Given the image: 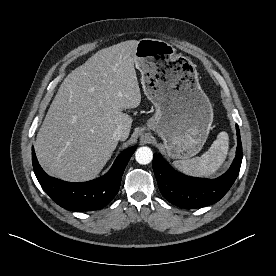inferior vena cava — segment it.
Wrapping results in <instances>:
<instances>
[{
    "mask_svg": "<svg viewBox=\"0 0 276 276\" xmlns=\"http://www.w3.org/2000/svg\"><path fill=\"white\" fill-rule=\"evenodd\" d=\"M127 137V133L122 126H118L113 132V138L115 140H124Z\"/></svg>",
    "mask_w": 276,
    "mask_h": 276,
    "instance_id": "obj_1",
    "label": "inferior vena cava"
}]
</instances>
